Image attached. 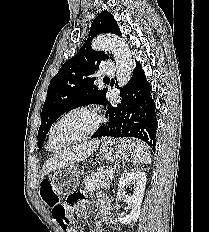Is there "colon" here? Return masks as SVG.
<instances>
[{
  "instance_id": "1",
  "label": "colon",
  "mask_w": 209,
  "mask_h": 232,
  "mask_svg": "<svg viewBox=\"0 0 209 232\" xmlns=\"http://www.w3.org/2000/svg\"><path fill=\"white\" fill-rule=\"evenodd\" d=\"M40 195L43 201L51 208L52 216L58 222V226L67 229L70 224V218L68 213H66V209H64V203L60 201V198L53 190L50 181L46 180L42 182Z\"/></svg>"
}]
</instances>
